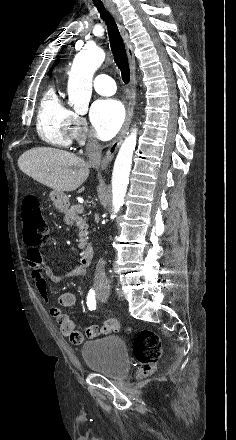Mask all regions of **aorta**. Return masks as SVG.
<instances>
[{
  "instance_id": "aorta-1",
  "label": "aorta",
  "mask_w": 236,
  "mask_h": 440,
  "mask_svg": "<svg viewBox=\"0 0 236 440\" xmlns=\"http://www.w3.org/2000/svg\"><path fill=\"white\" fill-rule=\"evenodd\" d=\"M104 59V51L96 46H86L75 56L69 72L67 91L68 103L73 106L76 112L84 113L88 110L92 95L93 75ZM136 143L137 129H132L123 141L114 163L112 173L113 213L111 219L116 217L124 203Z\"/></svg>"
}]
</instances>
